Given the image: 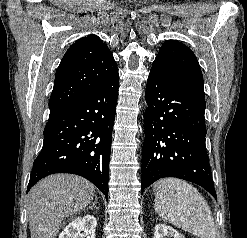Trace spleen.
Wrapping results in <instances>:
<instances>
[{
    "mask_svg": "<svg viewBox=\"0 0 247 238\" xmlns=\"http://www.w3.org/2000/svg\"><path fill=\"white\" fill-rule=\"evenodd\" d=\"M155 211L178 228L200 238H216L208 203L191 184L164 178L155 185Z\"/></svg>",
    "mask_w": 247,
    "mask_h": 238,
    "instance_id": "1",
    "label": "spleen"
}]
</instances>
